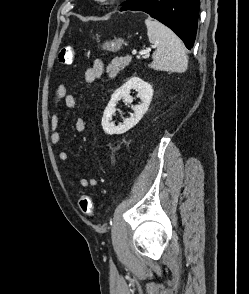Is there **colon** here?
I'll return each instance as SVG.
<instances>
[{"label":"colon","mask_w":249,"mask_h":294,"mask_svg":"<svg viewBox=\"0 0 249 294\" xmlns=\"http://www.w3.org/2000/svg\"><path fill=\"white\" fill-rule=\"evenodd\" d=\"M59 62L64 65H71L75 58V48L63 46L59 51ZM80 211L86 216H92L94 211L93 200L89 195H82L78 201Z\"/></svg>","instance_id":"colon-1"}]
</instances>
